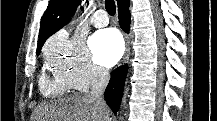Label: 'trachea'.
I'll return each instance as SVG.
<instances>
[{"label": "trachea", "mask_w": 217, "mask_h": 121, "mask_svg": "<svg viewBox=\"0 0 217 121\" xmlns=\"http://www.w3.org/2000/svg\"><path fill=\"white\" fill-rule=\"evenodd\" d=\"M105 8L109 15L113 16L116 13V5L114 0H105Z\"/></svg>", "instance_id": "3493384b"}]
</instances>
